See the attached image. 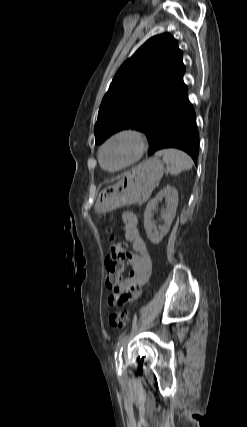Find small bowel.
<instances>
[{
  "instance_id": "c3829d8e",
  "label": "small bowel",
  "mask_w": 247,
  "mask_h": 427,
  "mask_svg": "<svg viewBox=\"0 0 247 427\" xmlns=\"http://www.w3.org/2000/svg\"><path fill=\"white\" fill-rule=\"evenodd\" d=\"M122 222L124 238L131 243L134 252L127 255L129 276L113 289L108 298L111 306L136 300L140 296L141 287L148 282L153 271L152 257L140 235L136 215L125 212Z\"/></svg>"
}]
</instances>
